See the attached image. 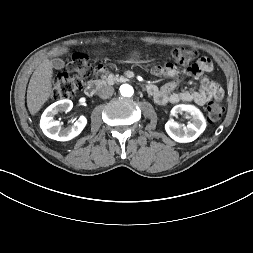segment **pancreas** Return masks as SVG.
Here are the masks:
<instances>
[{"label":"pancreas","instance_id":"1","mask_svg":"<svg viewBox=\"0 0 253 253\" xmlns=\"http://www.w3.org/2000/svg\"><path fill=\"white\" fill-rule=\"evenodd\" d=\"M117 79H118L117 76H112V75H110V76H108V77L104 76L101 82H102V83H105V82L113 83V82H114L115 80H117Z\"/></svg>","mask_w":253,"mask_h":253}]
</instances>
